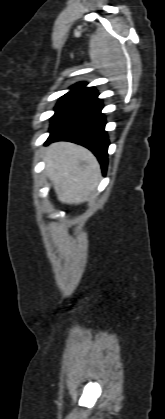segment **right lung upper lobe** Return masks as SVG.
I'll use <instances>...</instances> for the list:
<instances>
[{
  "instance_id": "cb5924a9",
  "label": "right lung upper lobe",
  "mask_w": 165,
  "mask_h": 419,
  "mask_svg": "<svg viewBox=\"0 0 165 419\" xmlns=\"http://www.w3.org/2000/svg\"><path fill=\"white\" fill-rule=\"evenodd\" d=\"M70 92L80 94L83 97H87L97 93L93 87H86V83L84 82L72 86Z\"/></svg>"
}]
</instances>
